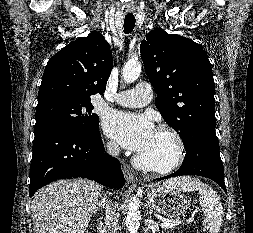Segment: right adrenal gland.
<instances>
[{
	"instance_id": "2a0ac1e0",
	"label": "right adrenal gland",
	"mask_w": 253,
	"mask_h": 233,
	"mask_svg": "<svg viewBox=\"0 0 253 233\" xmlns=\"http://www.w3.org/2000/svg\"><path fill=\"white\" fill-rule=\"evenodd\" d=\"M105 208V201L102 199V201H100L98 204H97V206H96V208H95V210H94V213L96 214L98 211H100V210H102V209H104Z\"/></svg>"
}]
</instances>
